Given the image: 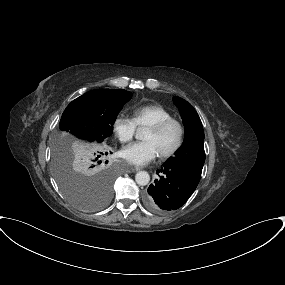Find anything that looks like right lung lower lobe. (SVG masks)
Segmentation results:
<instances>
[{
	"label": "right lung lower lobe",
	"instance_id": "right-lung-lower-lobe-1",
	"mask_svg": "<svg viewBox=\"0 0 285 285\" xmlns=\"http://www.w3.org/2000/svg\"><path fill=\"white\" fill-rule=\"evenodd\" d=\"M106 163H108V161H106ZM103 167H105L104 163H94L93 165L89 166V169L92 173H99Z\"/></svg>",
	"mask_w": 285,
	"mask_h": 285
}]
</instances>
